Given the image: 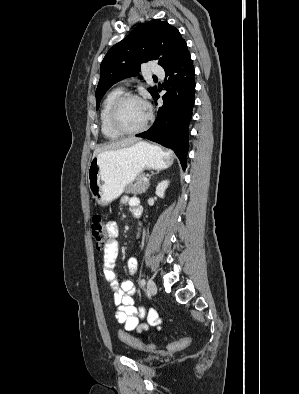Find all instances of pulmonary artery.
Instances as JSON below:
<instances>
[{"label": "pulmonary artery", "instance_id": "1", "mask_svg": "<svg viewBox=\"0 0 299 394\" xmlns=\"http://www.w3.org/2000/svg\"><path fill=\"white\" fill-rule=\"evenodd\" d=\"M153 72L156 76L160 78H163L165 75L164 70L162 68H155Z\"/></svg>", "mask_w": 299, "mask_h": 394}]
</instances>
